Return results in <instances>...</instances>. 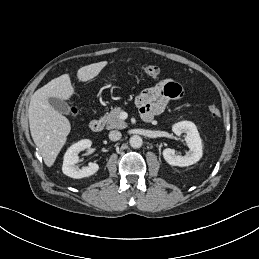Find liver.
<instances>
[{
	"label": "liver",
	"mask_w": 259,
	"mask_h": 259,
	"mask_svg": "<svg viewBox=\"0 0 259 259\" xmlns=\"http://www.w3.org/2000/svg\"><path fill=\"white\" fill-rule=\"evenodd\" d=\"M106 65L107 61H101L81 67L77 72V77L79 81H89L96 77ZM74 93L69 74H63L38 89L31 97L28 110L30 132L48 167L54 164L71 130L69 120L55 110L48 99L67 100Z\"/></svg>",
	"instance_id": "liver-1"
}]
</instances>
